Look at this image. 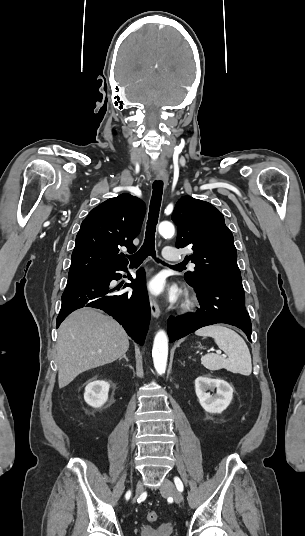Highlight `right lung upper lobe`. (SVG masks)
<instances>
[{
    "label": "right lung upper lobe",
    "mask_w": 305,
    "mask_h": 536,
    "mask_svg": "<svg viewBox=\"0 0 305 536\" xmlns=\"http://www.w3.org/2000/svg\"><path fill=\"white\" fill-rule=\"evenodd\" d=\"M145 211L144 202L127 193L92 209L76 236L68 277L126 267L128 261L119 248L136 251L133 239L140 232Z\"/></svg>",
    "instance_id": "cb5924a9"
}]
</instances>
